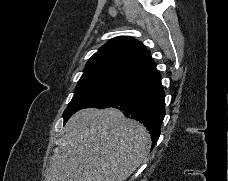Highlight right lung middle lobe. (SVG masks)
Returning <instances> with one entry per match:
<instances>
[{
    "label": "right lung middle lobe",
    "mask_w": 228,
    "mask_h": 181,
    "mask_svg": "<svg viewBox=\"0 0 228 181\" xmlns=\"http://www.w3.org/2000/svg\"><path fill=\"white\" fill-rule=\"evenodd\" d=\"M130 81L129 79L111 76L82 77L71 102L63 113L64 124L79 109L96 107L111 100Z\"/></svg>",
    "instance_id": "dd1d6c3e"
}]
</instances>
